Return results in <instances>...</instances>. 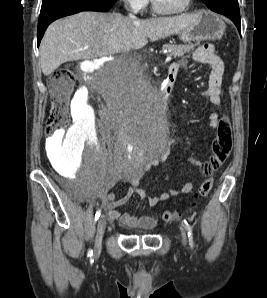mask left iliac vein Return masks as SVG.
Listing matches in <instances>:
<instances>
[{"instance_id": "left-iliac-vein-1", "label": "left iliac vein", "mask_w": 267, "mask_h": 298, "mask_svg": "<svg viewBox=\"0 0 267 298\" xmlns=\"http://www.w3.org/2000/svg\"><path fill=\"white\" fill-rule=\"evenodd\" d=\"M180 230H181L182 243H183V245H186L187 239H186L185 230L182 226H180Z\"/></svg>"}]
</instances>
